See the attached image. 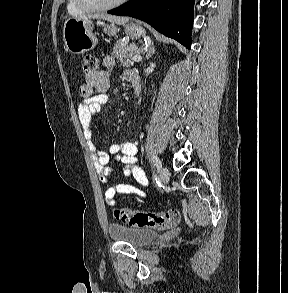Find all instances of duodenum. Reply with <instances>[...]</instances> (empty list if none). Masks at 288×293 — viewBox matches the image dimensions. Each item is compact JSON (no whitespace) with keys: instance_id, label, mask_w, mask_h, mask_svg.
Instances as JSON below:
<instances>
[{"instance_id":"1","label":"duodenum","mask_w":288,"mask_h":293,"mask_svg":"<svg viewBox=\"0 0 288 293\" xmlns=\"http://www.w3.org/2000/svg\"><path fill=\"white\" fill-rule=\"evenodd\" d=\"M130 83L132 85L134 95L138 96L141 92V82H140L139 77L137 75L133 76L130 79Z\"/></svg>"}]
</instances>
